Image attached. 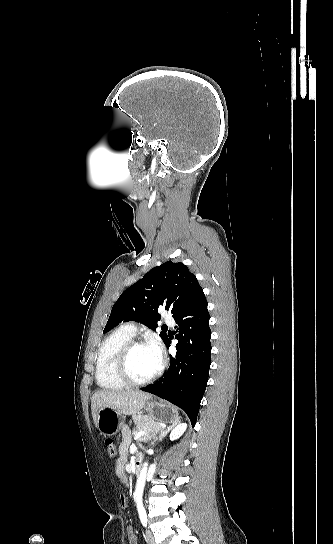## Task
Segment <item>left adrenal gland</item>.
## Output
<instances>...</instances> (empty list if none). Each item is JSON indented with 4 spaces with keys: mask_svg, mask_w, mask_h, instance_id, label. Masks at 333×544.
<instances>
[{
    "mask_svg": "<svg viewBox=\"0 0 333 544\" xmlns=\"http://www.w3.org/2000/svg\"><path fill=\"white\" fill-rule=\"evenodd\" d=\"M179 422H180L179 419H177V420H175V421L173 422L172 425H169L166 429L162 430V431L160 432L159 439L162 440L163 437H165V436L169 433V431H170L173 427H175Z\"/></svg>",
    "mask_w": 333,
    "mask_h": 544,
    "instance_id": "obj_1",
    "label": "left adrenal gland"
}]
</instances>
